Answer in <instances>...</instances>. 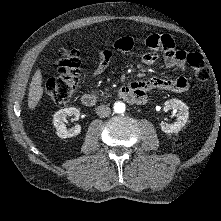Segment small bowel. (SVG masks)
<instances>
[{
	"mask_svg": "<svg viewBox=\"0 0 221 221\" xmlns=\"http://www.w3.org/2000/svg\"><path fill=\"white\" fill-rule=\"evenodd\" d=\"M145 44L148 48L142 56V61L145 65L151 66L158 60V52L163 53L164 63L168 68H178L182 72L185 71L186 53L178 50L174 40L170 35L152 34L149 35ZM137 47L132 37L123 36L116 39L111 48L104 49L100 52L98 61L90 73V77H96L103 73L109 66L115 52H126L136 50ZM137 94L141 103L146 100L147 92L153 90H168L175 93L186 92L189 88V83L184 75L174 79H163L153 77L148 80L134 81L129 85Z\"/></svg>",
	"mask_w": 221,
	"mask_h": 221,
	"instance_id": "1",
	"label": "small bowel"
}]
</instances>
